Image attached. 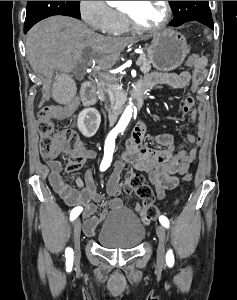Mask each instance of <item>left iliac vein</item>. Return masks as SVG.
Wrapping results in <instances>:
<instances>
[{
  "instance_id": "4c4485c4",
  "label": "left iliac vein",
  "mask_w": 237,
  "mask_h": 300,
  "mask_svg": "<svg viewBox=\"0 0 237 300\" xmlns=\"http://www.w3.org/2000/svg\"><path fill=\"white\" fill-rule=\"evenodd\" d=\"M156 233L159 239V245L157 250V264L160 267L165 266V239H166V233L163 226L158 225L156 228Z\"/></svg>"
}]
</instances>
